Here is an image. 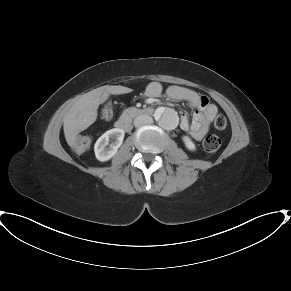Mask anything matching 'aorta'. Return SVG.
I'll return each instance as SVG.
<instances>
[{
    "mask_svg": "<svg viewBox=\"0 0 291 291\" xmlns=\"http://www.w3.org/2000/svg\"><path fill=\"white\" fill-rule=\"evenodd\" d=\"M159 125L166 130H173L178 125V118L175 112L165 110L156 115Z\"/></svg>",
    "mask_w": 291,
    "mask_h": 291,
    "instance_id": "1",
    "label": "aorta"
}]
</instances>
